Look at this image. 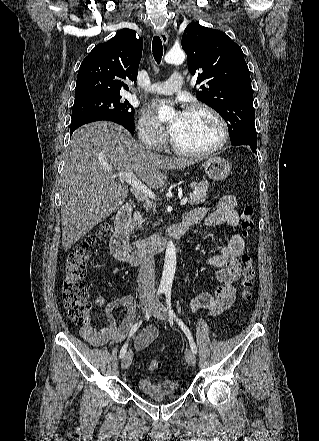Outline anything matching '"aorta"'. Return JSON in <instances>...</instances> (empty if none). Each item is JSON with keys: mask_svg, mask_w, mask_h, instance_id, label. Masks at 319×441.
<instances>
[{"mask_svg": "<svg viewBox=\"0 0 319 441\" xmlns=\"http://www.w3.org/2000/svg\"><path fill=\"white\" fill-rule=\"evenodd\" d=\"M186 55L181 49H172L164 57V60L168 64H182L185 61ZM159 119L161 121L170 120L172 117V111L168 106H162L159 109ZM176 269V249L172 241H169L166 247L165 263L163 268L161 287H171L174 279Z\"/></svg>", "mask_w": 319, "mask_h": 441, "instance_id": "762f6f07", "label": "aorta"}]
</instances>
